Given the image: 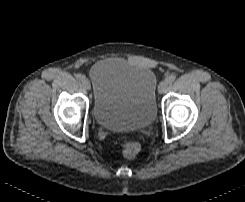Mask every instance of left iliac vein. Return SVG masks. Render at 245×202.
<instances>
[{
  "label": "left iliac vein",
  "instance_id": "obj_1",
  "mask_svg": "<svg viewBox=\"0 0 245 202\" xmlns=\"http://www.w3.org/2000/svg\"><path fill=\"white\" fill-rule=\"evenodd\" d=\"M167 87H168V83L166 81L160 82V84L158 86V92L164 93L166 91Z\"/></svg>",
  "mask_w": 245,
  "mask_h": 202
}]
</instances>
